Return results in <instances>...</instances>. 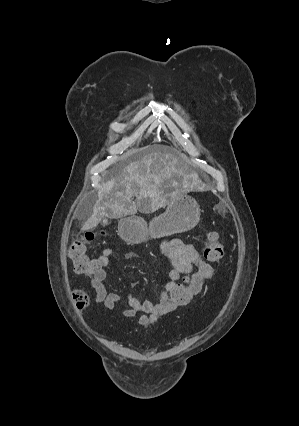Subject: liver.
I'll return each mask as SVG.
<instances>
[{
	"label": "liver",
	"mask_w": 299,
	"mask_h": 426,
	"mask_svg": "<svg viewBox=\"0 0 299 426\" xmlns=\"http://www.w3.org/2000/svg\"><path fill=\"white\" fill-rule=\"evenodd\" d=\"M184 162L167 146L156 145L141 160L131 162L98 190V200L83 230L95 228L103 217L120 218L138 210L154 212L167 203L164 185L184 175ZM136 196L133 201L132 197ZM171 198L175 194L169 195Z\"/></svg>",
	"instance_id": "liver-1"
}]
</instances>
